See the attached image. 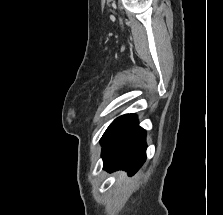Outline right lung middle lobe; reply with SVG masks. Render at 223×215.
Instances as JSON below:
<instances>
[{
    "label": "right lung middle lobe",
    "mask_w": 223,
    "mask_h": 215,
    "mask_svg": "<svg viewBox=\"0 0 223 215\" xmlns=\"http://www.w3.org/2000/svg\"><path fill=\"white\" fill-rule=\"evenodd\" d=\"M128 115H122L118 118H116L107 128L105 133L103 134L100 142L101 144L109 137V135L115 130V128L127 117Z\"/></svg>",
    "instance_id": "right-lung-middle-lobe-1"
}]
</instances>
